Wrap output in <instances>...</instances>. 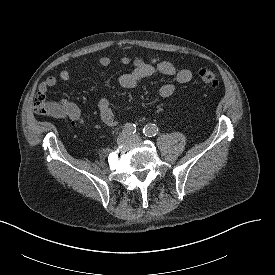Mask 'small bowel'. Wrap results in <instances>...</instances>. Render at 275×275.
<instances>
[{
  "instance_id": "small-bowel-1",
  "label": "small bowel",
  "mask_w": 275,
  "mask_h": 275,
  "mask_svg": "<svg viewBox=\"0 0 275 275\" xmlns=\"http://www.w3.org/2000/svg\"><path fill=\"white\" fill-rule=\"evenodd\" d=\"M121 62L124 65H128L130 63L133 65L131 71L122 74L118 79L119 84L124 88H133L141 80L148 78L155 73L170 77L175 82L180 84H187L192 80V73L190 70L178 69L169 61H162L156 58H151L149 61L137 58L132 61L128 56H124L121 58ZM99 63L101 66L107 67L110 65L111 59L108 56H102ZM79 69L80 67H76L74 69H63L60 71L58 77L62 81H67ZM57 81V77L49 76L40 84L39 90L46 93L49 88L56 85ZM174 92L175 85L172 82H165L159 88V95L163 98L170 97ZM98 110L100 118L105 125L114 127L117 124L110 101L107 97L101 96L99 98ZM49 114L55 118L69 120L72 124H81L83 122L80 108L76 104L64 99L52 103Z\"/></svg>"
}]
</instances>
